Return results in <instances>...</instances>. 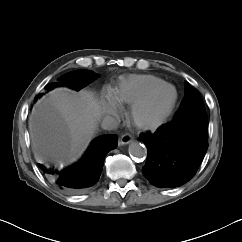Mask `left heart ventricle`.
I'll use <instances>...</instances> for the list:
<instances>
[{
    "label": "left heart ventricle",
    "mask_w": 242,
    "mask_h": 242,
    "mask_svg": "<svg viewBox=\"0 0 242 242\" xmlns=\"http://www.w3.org/2000/svg\"><path fill=\"white\" fill-rule=\"evenodd\" d=\"M173 96L172 89L161 91L139 111L138 118L146 123L159 120L172 102Z\"/></svg>",
    "instance_id": "obj_1"
}]
</instances>
